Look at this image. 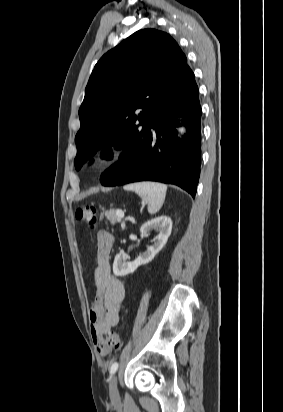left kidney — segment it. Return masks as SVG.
I'll use <instances>...</instances> for the list:
<instances>
[{
    "instance_id": "obj_1",
    "label": "left kidney",
    "mask_w": 283,
    "mask_h": 412,
    "mask_svg": "<svg viewBox=\"0 0 283 412\" xmlns=\"http://www.w3.org/2000/svg\"><path fill=\"white\" fill-rule=\"evenodd\" d=\"M152 229L158 231L159 235L153 240V244L148 247L146 252L138 256L135 261L128 262L126 258L120 254L115 256L113 263L114 275L125 276L133 273L139 266L151 262L167 243L172 231V221L167 216L157 217L143 224L140 232L143 236H148Z\"/></svg>"
}]
</instances>
